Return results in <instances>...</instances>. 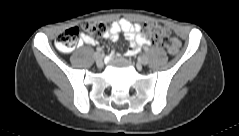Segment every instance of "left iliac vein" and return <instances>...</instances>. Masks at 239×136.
Wrapping results in <instances>:
<instances>
[{
	"instance_id": "1",
	"label": "left iliac vein",
	"mask_w": 239,
	"mask_h": 136,
	"mask_svg": "<svg viewBox=\"0 0 239 136\" xmlns=\"http://www.w3.org/2000/svg\"><path fill=\"white\" fill-rule=\"evenodd\" d=\"M148 63V58L146 56H140L138 58V64L146 65Z\"/></svg>"
}]
</instances>
